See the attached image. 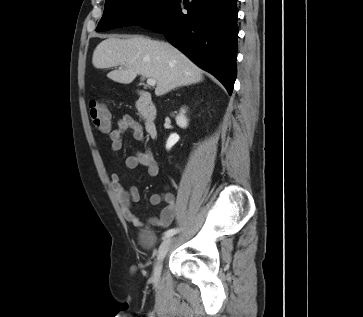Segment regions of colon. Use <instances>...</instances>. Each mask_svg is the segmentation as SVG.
I'll use <instances>...</instances> for the list:
<instances>
[{"label":"colon","mask_w":363,"mask_h":317,"mask_svg":"<svg viewBox=\"0 0 363 317\" xmlns=\"http://www.w3.org/2000/svg\"><path fill=\"white\" fill-rule=\"evenodd\" d=\"M89 115L94 126L100 131H107L110 127V115L107 107L95 100L89 103Z\"/></svg>","instance_id":"1"}]
</instances>
